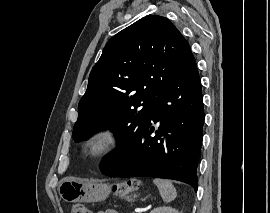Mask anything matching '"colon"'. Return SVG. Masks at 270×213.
I'll use <instances>...</instances> for the list:
<instances>
[{"mask_svg": "<svg viewBox=\"0 0 270 213\" xmlns=\"http://www.w3.org/2000/svg\"><path fill=\"white\" fill-rule=\"evenodd\" d=\"M137 186L135 181L119 183L113 186V193L115 195H125L136 190ZM72 213H90V211L84 205L76 204L72 208Z\"/></svg>", "mask_w": 270, "mask_h": 213, "instance_id": "colon-1", "label": "colon"}]
</instances>
